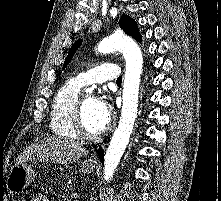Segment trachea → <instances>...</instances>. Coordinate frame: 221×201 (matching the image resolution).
<instances>
[{"label":"trachea","instance_id":"obj_1","mask_svg":"<svg viewBox=\"0 0 221 201\" xmlns=\"http://www.w3.org/2000/svg\"><path fill=\"white\" fill-rule=\"evenodd\" d=\"M117 84H121L122 83V76H120L117 81H116Z\"/></svg>","mask_w":221,"mask_h":201}]
</instances>
